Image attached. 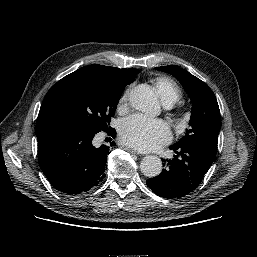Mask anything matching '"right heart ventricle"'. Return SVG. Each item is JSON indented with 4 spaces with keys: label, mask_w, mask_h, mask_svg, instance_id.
<instances>
[{
    "label": "right heart ventricle",
    "mask_w": 257,
    "mask_h": 257,
    "mask_svg": "<svg viewBox=\"0 0 257 257\" xmlns=\"http://www.w3.org/2000/svg\"><path fill=\"white\" fill-rule=\"evenodd\" d=\"M154 87L162 103L167 107L174 105L182 96L177 83L168 77L156 78Z\"/></svg>",
    "instance_id": "obj_1"
}]
</instances>
